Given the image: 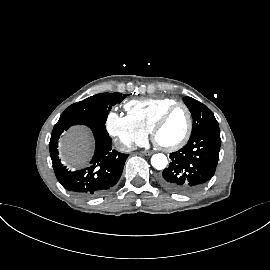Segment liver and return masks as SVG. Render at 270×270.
I'll return each instance as SVG.
<instances>
[{"instance_id":"1","label":"liver","mask_w":270,"mask_h":270,"mask_svg":"<svg viewBox=\"0 0 270 270\" xmlns=\"http://www.w3.org/2000/svg\"><path fill=\"white\" fill-rule=\"evenodd\" d=\"M92 143L88 129L81 126L73 127L61 138L59 145L61 157L72 165L81 166L87 162Z\"/></svg>"}]
</instances>
